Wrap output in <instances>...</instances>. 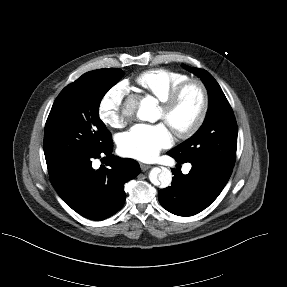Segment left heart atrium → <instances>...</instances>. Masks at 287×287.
Listing matches in <instances>:
<instances>
[{"mask_svg":"<svg viewBox=\"0 0 287 287\" xmlns=\"http://www.w3.org/2000/svg\"><path fill=\"white\" fill-rule=\"evenodd\" d=\"M171 142L172 136L165 124H137L120 136L119 149L124 156L151 161Z\"/></svg>","mask_w":287,"mask_h":287,"instance_id":"1","label":"left heart atrium"}]
</instances>
